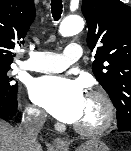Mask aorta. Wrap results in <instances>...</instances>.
Instances as JSON below:
<instances>
[{"label": "aorta", "mask_w": 131, "mask_h": 151, "mask_svg": "<svg viewBox=\"0 0 131 151\" xmlns=\"http://www.w3.org/2000/svg\"><path fill=\"white\" fill-rule=\"evenodd\" d=\"M84 27V21L80 16H67L60 24L59 32L62 36H72L79 33Z\"/></svg>", "instance_id": "1"}]
</instances>
